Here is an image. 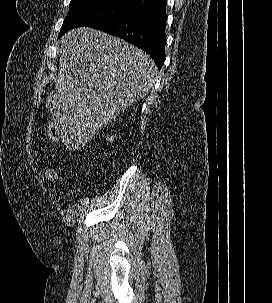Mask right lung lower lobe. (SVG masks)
Masks as SVG:
<instances>
[{
  "mask_svg": "<svg viewBox=\"0 0 272 303\" xmlns=\"http://www.w3.org/2000/svg\"><path fill=\"white\" fill-rule=\"evenodd\" d=\"M166 0L91 26L118 36L148 53L159 69L165 60Z\"/></svg>",
  "mask_w": 272,
  "mask_h": 303,
  "instance_id": "1",
  "label": "right lung lower lobe"
}]
</instances>
